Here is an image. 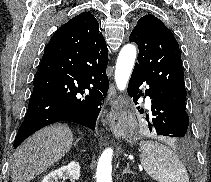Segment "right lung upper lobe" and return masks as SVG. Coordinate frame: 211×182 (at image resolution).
I'll return each instance as SVG.
<instances>
[{
  "instance_id": "cb5924a9",
  "label": "right lung upper lobe",
  "mask_w": 211,
  "mask_h": 182,
  "mask_svg": "<svg viewBox=\"0 0 211 182\" xmlns=\"http://www.w3.org/2000/svg\"><path fill=\"white\" fill-rule=\"evenodd\" d=\"M55 34L68 36L75 43H97L105 41L95 17L90 13H81L61 26Z\"/></svg>"
}]
</instances>
